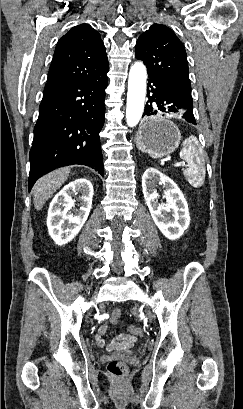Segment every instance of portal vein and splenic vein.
<instances>
[{"instance_id":"1","label":"portal vein and splenic vein","mask_w":243,"mask_h":409,"mask_svg":"<svg viewBox=\"0 0 243 409\" xmlns=\"http://www.w3.org/2000/svg\"><path fill=\"white\" fill-rule=\"evenodd\" d=\"M175 166H185V163L184 162H179V163H176Z\"/></svg>"}]
</instances>
